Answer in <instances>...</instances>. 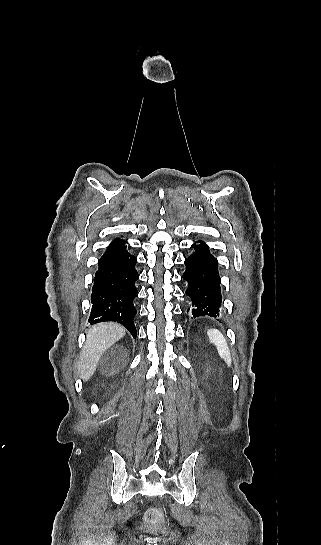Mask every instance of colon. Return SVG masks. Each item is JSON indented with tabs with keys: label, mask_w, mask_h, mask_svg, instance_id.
<instances>
[{
	"label": "colon",
	"mask_w": 321,
	"mask_h": 545,
	"mask_svg": "<svg viewBox=\"0 0 321 545\" xmlns=\"http://www.w3.org/2000/svg\"><path fill=\"white\" fill-rule=\"evenodd\" d=\"M163 522L162 513L155 508H150L145 513V525L150 529L158 528Z\"/></svg>",
	"instance_id": "5ec220e1"
}]
</instances>
